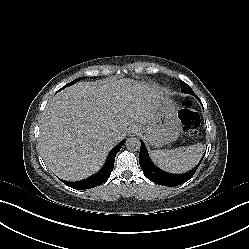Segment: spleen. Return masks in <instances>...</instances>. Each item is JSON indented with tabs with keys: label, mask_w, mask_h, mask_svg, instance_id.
<instances>
[{
	"label": "spleen",
	"mask_w": 249,
	"mask_h": 249,
	"mask_svg": "<svg viewBox=\"0 0 249 249\" xmlns=\"http://www.w3.org/2000/svg\"><path fill=\"white\" fill-rule=\"evenodd\" d=\"M204 149L203 144H197L175 150H153L150 152V157L157 167L174 173L178 170L191 169L197 165L203 156Z\"/></svg>",
	"instance_id": "obj_1"
}]
</instances>
